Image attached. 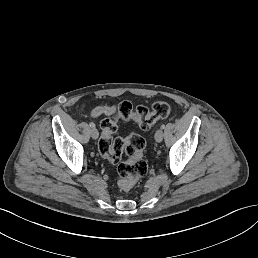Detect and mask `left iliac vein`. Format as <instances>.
Masks as SVG:
<instances>
[{
	"mask_svg": "<svg viewBox=\"0 0 258 258\" xmlns=\"http://www.w3.org/2000/svg\"><path fill=\"white\" fill-rule=\"evenodd\" d=\"M163 135H164V132L162 131V129H157V131L155 132V142L161 143Z\"/></svg>",
	"mask_w": 258,
	"mask_h": 258,
	"instance_id": "left-iliac-vein-1",
	"label": "left iliac vein"
}]
</instances>
